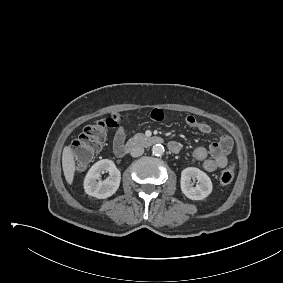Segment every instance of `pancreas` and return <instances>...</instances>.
<instances>
[{
	"instance_id": "cf45deb5",
	"label": "pancreas",
	"mask_w": 283,
	"mask_h": 283,
	"mask_svg": "<svg viewBox=\"0 0 283 283\" xmlns=\"http://www.w3.org/2000/svg\"><path fill=\"white\" fill-rule=\"evenodd\" d=\"M145 136H144V134L143 133H137L136 135H135V138L136 139H142V138H144Z\"/></svg>"
}]
</instances>
